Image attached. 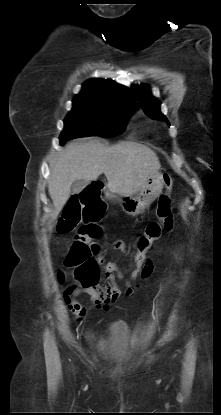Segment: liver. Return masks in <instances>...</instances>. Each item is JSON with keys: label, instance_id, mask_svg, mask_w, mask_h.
I'll return each mask as SVG.
<instances>
[{"label": "liver", "instance_id": "1", "mask_svg": "<svg viewBox=\"0 0 221 415\" xmlns=\"http://www.w3.org/2000/svg\"><path fill=\"white\" fill-rule=\"evenodd\" d=\"M161 164L154 151L135 142L122 141L104 146L97 139L69 143L55 161L48 181L54 218L66 204L76 180L106 176L110 192L121 196L137 193Z\"/></svg>", "mask_w": 221, "mask_h": 415}]
</instances>
